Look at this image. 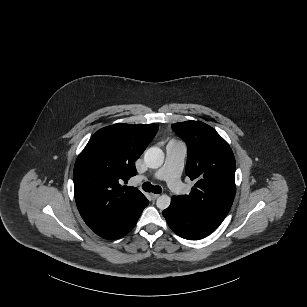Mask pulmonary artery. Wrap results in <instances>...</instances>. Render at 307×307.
Masks as SVG:
<instances>
[{
  "instance_id": "e3ab8cb5",
  "label": "pulmonary artery",
  "mask_w": 307,
  "mask_h": 307,
  "mask_svg": "<svg viewBox=\"0 0 307 307\" xmlns=\"http://www.w3.org/2000/svg\"><path fill=\"white\" fill-rule=\"evenodd\" d=\"M182 153L183 148L179 143H170L166 149V159L162 168L138 176L137 180L165 182L170 191L184 193L187 190V183L184 180H180L179 176L182 171Z\"/></svg>"
}]
</instances>
